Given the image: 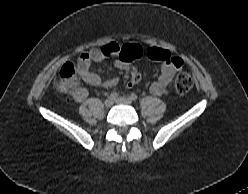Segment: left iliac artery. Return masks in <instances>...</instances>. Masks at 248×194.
<instances>
[{"label": "left iliac artery", "instance_id": "left-iliac-artery-1", "mask_svg": "<svg viewBox=\"0 0 248 194\" xmlns=\"http://www.w3.org/2000/svg\"><path fill=\"white\" fill-rule=\"evenodd\" d=\"M137 95L135 94V93H132L131 95H130V99L132 100V101H136L137 100Z\"/></svg>", "mask_w": 248, "mask_h": 194}]
</instances>
